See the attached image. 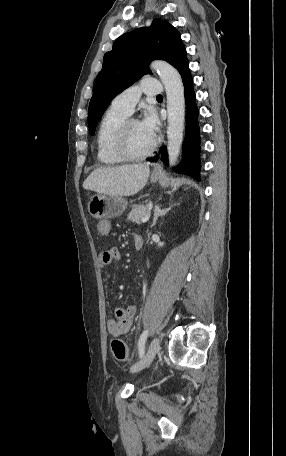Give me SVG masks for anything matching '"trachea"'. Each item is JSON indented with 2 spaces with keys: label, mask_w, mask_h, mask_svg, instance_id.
I'll return each instance as SVG.
<instances>
[{
  "label": "trachea",
  "mask_w": 286,
  "mask_h": 456,
  "mask_svg": "<svg viewBox=\"0 0 286 456\" xmlns=\"http://www.w3.org/2000/svg\"><path fill=\"white\" fill-rule=\"evenodd\" d=\"M156 98H162V95H157Z\"/></svg>",
  "instance_id": "1"
}]
</instances>
